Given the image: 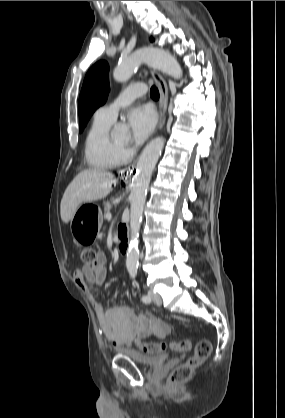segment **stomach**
<instances>
[{
    "instance_id": "0dacf381",
    "label": "stomach",
    "mask_w": 285,
    "mask_h": 418,
    "mask_svg": "<svg viewBox=\"0 0 285 418\" xmlns=\"http://www.w3.org/2000/svg\"><path fill=\"white\" fill-rule=\"evenodd\" d=\"M86 204L77 208L70 222V230L74 240L79 244H90L100 231L103 217L99 207L92 212L85 210Z\"/></svg>"
}]
</instances>
